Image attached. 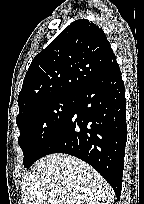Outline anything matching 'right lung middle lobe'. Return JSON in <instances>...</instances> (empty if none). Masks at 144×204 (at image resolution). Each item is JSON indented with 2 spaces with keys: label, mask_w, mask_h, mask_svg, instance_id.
Listing matches in <instances>:
<instances>
[{
  "label": "right lung middle lobe",
  "mask_w": 144,
  "mask_h": 204,
  "mask_svg": "<svg viewBox=\"0 0 144 204\" xmlns=\"http://www.w3.org/2000/svg\"><path fill=\"white\" fill-rule=\"evenodd\" d=\"M75 95H60L34 105L19 114L16 123L20 129L19 146L24 155V167L41 158L48 140L68 116Z\"/></svg>",
  "instance_id": "1"
}]
</instances>
